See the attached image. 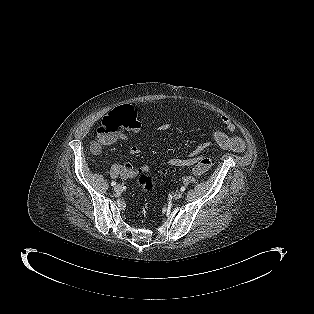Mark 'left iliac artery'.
Wrapping results in <instances>:
<instances>
[{"instance_id":"1","label":"left iliac artery","mask_w":314,"mask_h":314,"mask_svg":"<svg viewBox=\"0 0 314 314\" xmlns=\"http://www.w3.org/2000/svg\"><path fill=\"white\" fill-rule=\"evenodd\" d=\"M180 190H181L182 192H184V191L186 190V188L182 186Z\"/></svg>"}]
</instances>
